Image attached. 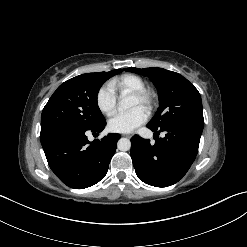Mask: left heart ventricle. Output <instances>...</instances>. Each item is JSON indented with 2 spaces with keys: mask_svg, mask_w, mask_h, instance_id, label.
Here are the masks:
<instances>
[{
  "mask_svg": "<svg viewBox=\"0 0 247 247\" xmlns=\"http://www.w3.org/2000/svg\"><path fill=\"white\" fill-rule=\"evenodd\" d=\"M137 106L141 107L139 101L136 98L131 97L130 107L134 108V107H137Z\"/></svg>",
  "mask_w": 247,
  "mask_h": 247,
  "instance_id": "left-heart-ventricle-1",
  "label": "left heart ventricle"
}]
</instances>
